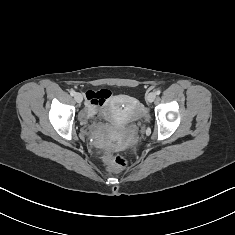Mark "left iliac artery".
Here are the masks:
<instances>
[{"instance_id": "1", "label": "left iliac artery", "mask_w": 235, "mask_h": 235, "mask_svg": "<svg viewBox=\"0 0 235 235\" xmlns=\"http://www.w3.org/2000/svg\"><path fill=\"white\" fill-rule=\"evenodd\" d=\"M160 93H161L160 90H156V91H155V94H156V95H159Z\"/></svg>"}]
</instances>
